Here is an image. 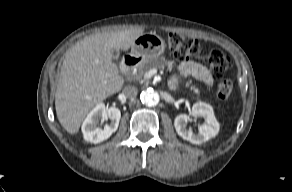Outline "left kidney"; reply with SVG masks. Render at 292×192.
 <instances>
[{"label":"left kidney","instance_id":"left-kidney-1","mask_svg":"<svg viewBox=\"0 0 292 192\" xmlns=\"http://www.w3.org/2000/svg\"><path fill=\"white\" fill-rule=\"evenodd\" d=\"M192 116L195 118L202 117L205 120L204 124L199 126L198 134H194L191 130L186 128V124L190 119L187 114H180L174 120L176 132L184 140L199 145L218 134L220 126L214 116L211 105L204 102L195 103L192 107Z\"/></svg>","mask_w":292,"mask_h":192}]
</instances>
